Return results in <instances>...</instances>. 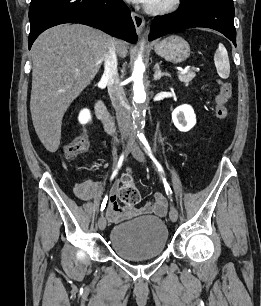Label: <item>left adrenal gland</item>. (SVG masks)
<instances>
[{
  "mask_svg": "<svg viewBox=\"0 0 261 306\" xmlns=\"http://www.w3.org/2000/svg\"><path fill=\"white\" fill-rule=\"evenodd\" d=\"M163 76H167V77H170V74L169 73H164L160 70V66L159 64H156L155 65V73H154V80L155 81H158L161 79V77Z\"/></svg>",
  "mask_w": 261,
  "mask_h": 306,
  "instance_id": "1",
  "label": "left adrenal gland"
}]
</instances>
